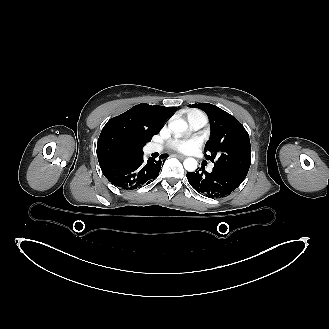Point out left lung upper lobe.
<instances>
[{"label": "left lung upper lobe", "mask_w": 329, "mask_h": 329, "mask_svg": "<svg viewBox=\"0 0 329 329\" xmlns=\"http://www.w3.org/2000/svg\"><path fill=\"white\" fill-rule=\"evenodd\" d=\"M189 107L203 110L209 117L211 132L205 152L214 166L246 177L251 163V145L245 128L229 113L219 107L200 103Z\"/></svg>", "instance_id": "1"}]
</instances>
